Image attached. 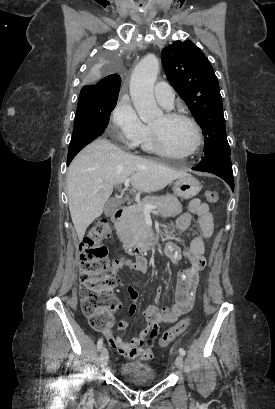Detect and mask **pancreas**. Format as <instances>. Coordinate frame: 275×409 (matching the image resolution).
Wrapping results in <instances>:
<instances>
[{"label": "pancreas", "mask_w": 275, "mask_h": 409, "mask_svg": "<svg viewBox=\"0 0 275 409\" xmlns=\"http://www.w3.org/2000/svg\"><path fill=\"white\" fill-rule=\"evenodd\" d=\"M144 205H157V213L162 217H175L182 213V205L174 194L166 196H145L138 205L127 207L115 229L119 239L128 247H142L151 229L145 223Z\"/></svg>", "instance_id": "obj_1"}]
</instances>
